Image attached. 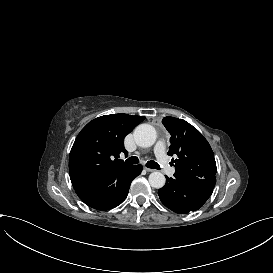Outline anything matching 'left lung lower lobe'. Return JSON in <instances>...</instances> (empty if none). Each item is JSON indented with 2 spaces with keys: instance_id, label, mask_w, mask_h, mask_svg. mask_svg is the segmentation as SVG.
Returning a JSON list of instances; mask_svg holds the SVG:
<instances>
[{
  "instance_id": "obj_1",
  "label": "left lung lower lobe",
  "mask_w": 273,
  "mask_h": 273,
  "mask_svg": "<svg viewBox=\"0 0 273 273\" xmlns=\"http://www.w3.org/2000/svg\"><path fill=\"white\" fill-rule=\"evenodd\" d=\"M216 177H189L175 172L173 178L166 176V184L158 190L161 202L176 213L198 210L211 196Z\"/></svg>"
}]
</instances>
